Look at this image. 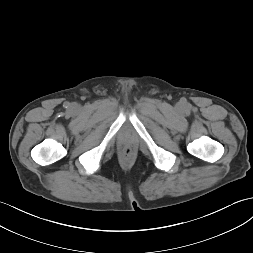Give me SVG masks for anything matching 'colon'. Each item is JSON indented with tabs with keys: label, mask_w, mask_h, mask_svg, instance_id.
<instances>
[{
	"label": "colon",
	"mask_w": 253,
	"mask_h": 253,
	"mask_svg": "<svg viewBox=\"0 0 253 253\" xmlns=\"http://www.w3.org/2000/svg\"><path fill=\"white\" fill-rule=\"evenodd\" d=\"M133 154V150L129 147L127 148H124L123 151H122V155L124 158H130Z\"/></svg>",
	"instance_id": "obj_1"
}]
</instances>
